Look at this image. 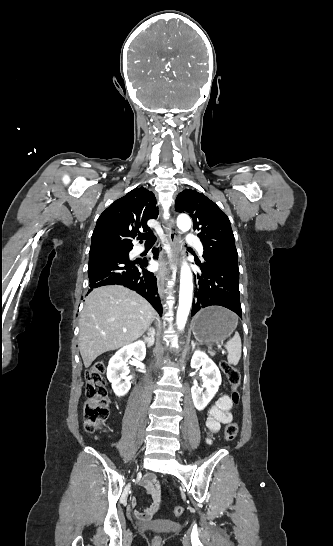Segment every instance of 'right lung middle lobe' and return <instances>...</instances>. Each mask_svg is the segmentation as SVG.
I'll return each instance as SVG.
<instances>
[{
  "mask_svg": "<svg viewBox=\"0 0 333 546\" xmlns=\"http://www.w3.org/2000/svg\"><path fill=\"white\" fill-rule=\"evenodd\" d=\"M124 252L129 253V251L132 249V247H121Z\"/></svg>",
  "mask_w": 333,
  "mask_h": 546,
  "instance_id": "right-lung-middle-lobe-1",
  "label": "right lung middle lobe"
}]
</instances>
